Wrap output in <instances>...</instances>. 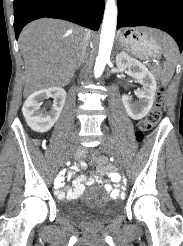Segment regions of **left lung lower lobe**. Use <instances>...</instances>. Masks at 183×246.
<instances>
[{
  "label": "left lung lower lobe",
  "instance_id": "left-lung-lower-lobe-1",
  "mask_svg": "<svg viewBox=\"0 0 183 246\" xmlns=\"http://www.w3.org/2000/svg\"><path fill=\"white\" fill-rule=\"evenodd\" d=\"M148 26L170 34L183 50V0H118L117 29Z\"/></svg>",
  "mask_w": 183,
  "mask_h": 246
}]
</instances>
